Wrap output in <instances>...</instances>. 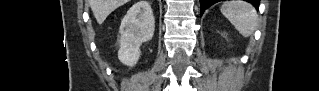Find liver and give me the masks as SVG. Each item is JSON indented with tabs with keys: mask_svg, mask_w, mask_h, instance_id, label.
I'll return each instance as SVG.
<instances>
[{
	"mask_svg": "<svg viewBox=\"0 0 319 91\" xmlns=\"http://www.w3.org/2000/svg\"><path fill=\"white\" fill-rule=\"evenodd\" d=\"M127 2L128 0H88L98 24H102L111 12Z\"/></svg>",
	"mask_w": 319,
	"mask_h": 91,
	"instance_id": "obj_1",
	"label": "liver"
}]
</instances>
